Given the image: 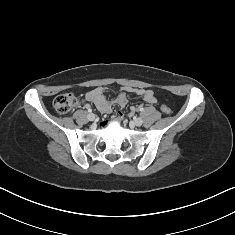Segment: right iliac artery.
<instances>
[{"label": "right iliac artery", "mask_w": 235, "mask_h": 235, "mask_svg": "<svg viewBox=\"0 0 235 235\" xmlns=\"http://www.w3.org/2000/svg\"><path fill=\"white\" fill-rule=\"evenodd\" d=\"M88 112L91 113V112H92V109L89 108V109H88Z\"/></svg>", "instance_id": "1"}]
</instances>
